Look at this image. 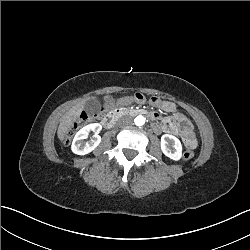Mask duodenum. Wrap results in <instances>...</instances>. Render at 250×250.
<instances>
[{"mask_svg":"<svg viewBox=\"0 0 250 250\" xmlns=\"http://www.w3.org/2000/svg\"><path fill=\"white\" fill-rule=\"evenodd\" d=\"M137 115H141V116H148L150 117L151 114L145 110V109H124V108H116L113 109L111 111H109L102 122V125L105 129L109 130L112 129L116 123V121L123 117V116H130V117H134Z\"/></svg>","mask_w":250,"mask_h":250,"instance_id":"obj_1","label":"duodenum"}]
</instances>
